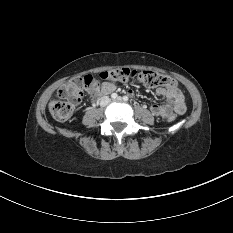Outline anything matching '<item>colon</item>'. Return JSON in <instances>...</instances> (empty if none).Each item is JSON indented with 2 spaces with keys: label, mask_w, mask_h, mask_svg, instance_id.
Listing matches in <instances>:
<instances>
[{
  "label": "colon",
  "mask_w": 233,
  "mask_h": 233,
  "mask_svg": "<svg viewBox=\"0 0 233 233\" xmlns=\"http://www.w3.org/2000/svg\"><path fill=\"white\" fill-rule=\"evenodd\" d=\"M131 80H137L152 87L177 90L176 81L167 75L151 70L136 71L129 68H115L102 72L98 78L85 75L62 85L57 92V99L50 104V113L55 120L65 121L73 115L84 96L96 95L118 82L125 83ZM174 119L175 117H171L168 120L173 121Z\"/></svg>",
  "instance_id": "1"
}]
</instances>
